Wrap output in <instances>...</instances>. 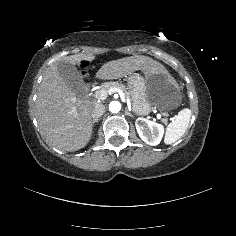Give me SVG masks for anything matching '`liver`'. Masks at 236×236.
I'll use <instances>...</instances> for the list:
<instances>
[{
    "label": "liver",
    "mask_w": 236,
    "mask_h": 236,
    "mask_svg": "<svg viewBox=\"0 0 236 236\" xmlns=\"http://www.w3.org/2000/svg\"><path fill=\"white\" fill-rule=\"evenodd\" d=\"M95 56L75 54L64 57L72 64L81 60L93 61ZM57 62L51 64L45 71L40 83L37 100L36 115L38 125L46 141L58 149L77 151L86 146L92 134L91 111L94 101L79 99L57 70ZM145 73L163 71L161 63L148 56H130L105 63L96 73V78L110 80L122 78L134 71ZM75 107L78 116L72 113ZM67 126H71L67 128Z\"/></svg>",
    "instance_id": "liver-1"
}]
</instances>
